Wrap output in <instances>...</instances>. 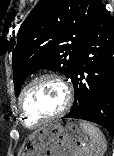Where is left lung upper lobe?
I'll return each instance as SVG.
<instances>
[{
    "mask_svg": "<svg viewBox=\"0 0 114 156\" xmlns=\"http://www.w3.org/2000/svg\"><path fill=\"white\" fill-rule=\"evenodd\" d=\"M99 0H40L17 33L13 50L14 87L39 70L59 71L70 79L82 41Z\"/></svg>",
    "mask_w": 114,
    "mask_h": 156,
    "instance_id": "obj_1",
    "label": "left lung upper lobe"
}]
</instances>
